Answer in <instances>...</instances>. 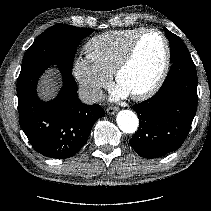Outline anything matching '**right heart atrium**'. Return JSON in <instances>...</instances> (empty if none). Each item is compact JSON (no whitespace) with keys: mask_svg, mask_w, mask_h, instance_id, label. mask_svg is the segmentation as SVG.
<instances>
[{"mask_svg":"<svg viewBox=\"0 0 211 211\" xmlns=\"http://www.w3.org/2000/svg\"><path fill=\"white\" fill-rule=\"evenodd\" d=\"M72 73L82 98L87 102L98 101L111 80V76L99 69L88 56L74 59Z\"/></svg>","mask_w":211,"mask_h":211,"instance_id":"d8ad5b80","label":"right heart atrium"}]
</instances>
